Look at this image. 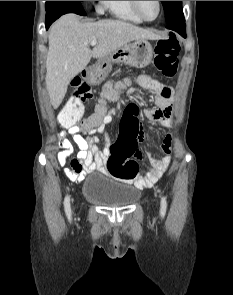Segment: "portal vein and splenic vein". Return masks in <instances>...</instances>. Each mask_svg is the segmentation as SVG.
<instances>
[{
    "mask_svg": "<svg viewBox=\"0 0 233 295\" xmlns=\"http://www.w3.org/2000/svg\"><path fill=\"white\" fill-rule=\"evenodd\" d=\"M90 44H91V46H95V45L97 44V40H96V39L92 40V41L90 42Z\"/></svg>",
    "mask_w": 233,
    "mask_h": 295,
    "instance_id": "obj_1",
    "label": "portal vein and splenic vein"
}]
</instances>
